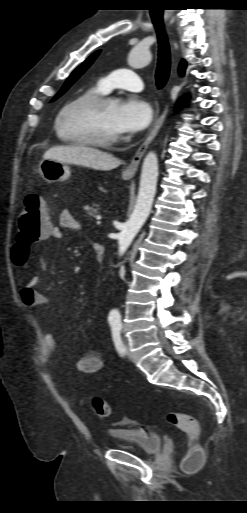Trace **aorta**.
Masks as SVG:
<instances>
[{"label": "aorta", "mask_w": 247, "mask_h": 513, "mask_svg": "<svg viewBox=\"0 0 247 513\" xmlns=\"http://www.w3.org/2000/svg\"><path fill=\"white\" fill-rule=\"evenodd\" d=\"M150 61V51L143 44L135 46L128 56L129 65L136 69L148 65ZM116 102H119V100H116ZM157 179L158 158L155 152L150 151L143 161L139 192L134 211L129 221L119 233L118 243L120 256L125 253L151 212L154 196L156 194ZM109 319L118 321L120 319L119 311L115 309L112 310L109 314Z\"/></svg>", "instance_id": "obj_1"}]
</instances>
